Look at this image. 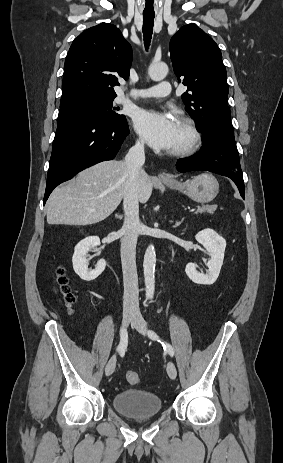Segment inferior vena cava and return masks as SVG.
<instances>
[{
    "label": "inferior vena cava",
    "instance_id": "inferior-vena-cava-1",
    "mask_svg": "<svg viewBox=\"0 0 283 463\" xmlns=\"http://www.w3.org/2000/svg\"><path fill=\"white\" fill-rule=\"evenodd\" d=\"M144 141L139 140L125 157L129 178L123 196L124 223L122 226L121 262L124 283V311L139 310L138 276L136 268V243L139 221V188L144 181Z\"/></svg>",
    "mask_w": 283,
    "mask_h": 463
}]
</instances>
